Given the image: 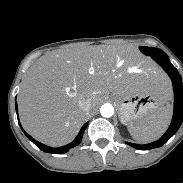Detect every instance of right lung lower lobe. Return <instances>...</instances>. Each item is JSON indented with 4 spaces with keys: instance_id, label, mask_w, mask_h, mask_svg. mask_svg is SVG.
I'll use <instances>...</instances> for the list:
<instances>
[{
    "instance_id": "obj_1",
    "label": "right lung lower lobe",
    "mask_w": 183,
    "mask_h": 183,
    "mask_svg": "<svg viewBox=\"0 0 183 183\" xmlns=\"http://www.w3.org/2000/svg\"><path fill=\"white\" fill-rule=\"evenodd\" d=\"M16 112L18 115V108H17V103H16ZM18 122H19V118H18ZM19 125L21 127V124L19 122ZM88 125V122L85 123L83 125V127L81 128L79 134L76 136V138L69 144L62 146V147H58V148H52L49 146H46L38 141H36L35 139H33L29 134H27L24 129L21 127L22 131L24 132V134L42 151L47 152V153H54V154H64L66 152H68L71 148L77 146L78 144H80L82 137H83V133L86 129Z\"/></svg>"
}]
</instances>
